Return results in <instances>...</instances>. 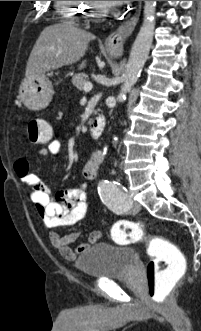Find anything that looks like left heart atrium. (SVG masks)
Here are the masks:
<instances>
[{"mask_svg":"<svg viewBox=\"0 0 201 331\" xmlns=\"http://www.w3.org/2000/svg\"><path fill=\"white\" fill-rule=\"evenodd\" d=\"M101 2L106 4V5L118 6V5H122L124 3H127L128 1H101Z\"/></svg>","mask_w":201,"mask_h":331,"instance_id":"obj_1","label":"left heart atrium"}]
</instances>
